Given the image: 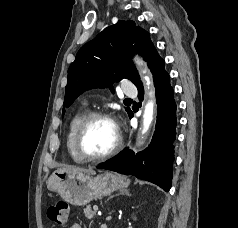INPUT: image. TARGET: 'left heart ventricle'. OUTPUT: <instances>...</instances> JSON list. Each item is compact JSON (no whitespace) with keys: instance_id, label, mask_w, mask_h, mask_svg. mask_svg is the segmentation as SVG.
<instances>
[{"instance_id":"b2bd125f","label":"left heart ventricle","mask_w":238,"mask_h":228,"mask_svg":"<svg viewBox=\"0 0 238 228\" xmlns=\"http://www.w3.org/2000/svg\"><path fill=\"white\" fill-rule=\"evenodd\" d=\"M117 141L115 124L108 119H96L88 127L82 147L88 155H101L109 151Z\"/></svg>"}]
</instances>
